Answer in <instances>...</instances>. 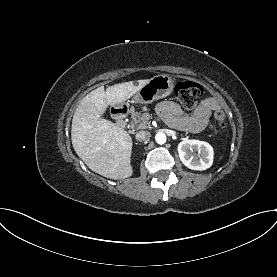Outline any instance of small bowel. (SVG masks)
Here are the masks:
<instances>
[{"label":"small bowel","instance_id":"small-bowel-1","mask_svg":"<svg viewBox=\"0 0 277 277\" xmlns=\"http://www.w3.org/2000/svg\"><path fill=\"white\" fill-rule=\"evenodd\" d=\"M219 108V102L208 97L201 102L191 115L185 114L182 108L173 101L159 103L157 112L169 126L198 133L210 126L211 113Z\"/></svg>","mask_w":277,"mask_h":277}]
</instances>
